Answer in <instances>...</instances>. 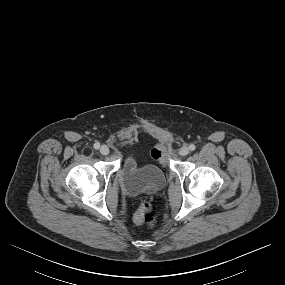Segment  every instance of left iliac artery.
<instances>
[{
	"label": "left iliac artery",
	"mask_w": 285,
	"mask_h": 285,
	"mask_svg": "<svg viewBox=\"0 0 285 285\" xmlns=\"http://www.w3.org/2000/svg\"><path fill=\"white\" fill-rule=\"evenodd\" d=\"M189 149H190L191 151H194V150L196 149V146H195L194 144H191V145L189 146Z\"/></svg>",
	"instance_id": "44dca946"
}]
</instances>
